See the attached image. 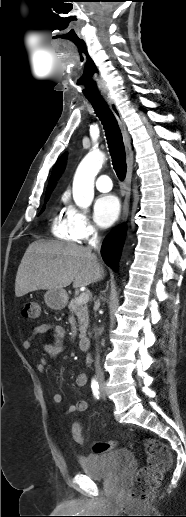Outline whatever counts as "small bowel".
Masks as SVG:
<instances>
[{
	"instance_id": "c3829d8e",
	"label": "small bowel",
	"mask_w": 186,
	"mask_h": 517,
	"mask_svg": "<svg viewBox=\"0 0 186 517\" xmlns=\"http://www.w3.org/2000/svg\"><path fill=\"white\" fill-rule=\"evenodd\" d=\"M50 332L52 335V341L48 342L44 345L45 352L49 355L51 359H54L59 354L64 352L67 349L66 344L64 343L65 330L61 326L44 323L35 327L32 332L26 337L23 341V348L29 349L34 342V340L45 333ZM48 366V360L46 358H41L37 364V368L42 371ZM88 382V377L85 373H80L75 379V385L77 387H84ZM53 401L55 403H60L62 401V395L60 393H55L53 395ZM89 404L85 400H80L76 402L74 405H70L66 409V414H73L76 412H84L88 409ZM77 425V424H76ZM82 433V432H81Z\"/></svg>"
}]
</instances>
